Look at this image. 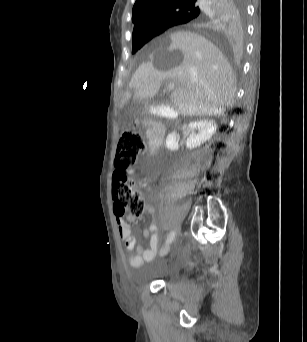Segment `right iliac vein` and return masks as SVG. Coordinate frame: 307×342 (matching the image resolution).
Returning <instances> with one entry per match:
<instances>
[{
  "mask_svg": "<svg viewBox=\"0 0 307 342\" xmlns=\"http://www.w3.org/2000/svg\"><path fill=\"white\" fill-rule=\"evenodd\" d=\"M169 249H170L169 245L163 246L159 252L160 256L166 255L169 252Z\"/></svg>",
  "mask_w": 307,
  "mask_h": 342,
  "instance_id": "right-iliac-vein-1",
  "label": "right iliac vein"
}]
</instances>
